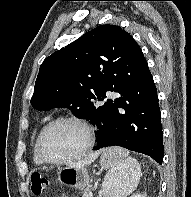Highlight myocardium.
Masks as SVG:
<instances>
[{"mask_svg":"<svg viewBox=\"0 0 191 197\" xmlns=\"http://www.w3.org/2000/svg\"><path fill=\"white\" fill-rule=\"evenodd\" d=\"M61 122H74V123L79 124L85 131L86 144L82 150H80L78 153L72 156L62 158V159H52L48 157L43 151L42 140H43L45 133L52 126ZM94 143H95V136H94L93 128L85 119L76 115H64V116H59L57 118H54L41 129L36 139V150H37L38 156L44 163L51 164V165H61V164L69 163V162L82 158L92 149V147L94 146Z\"/></svg>","mask_w":191,"mask_h":197,"instance_id":"1","label":"myocardium"}]
</instances>
